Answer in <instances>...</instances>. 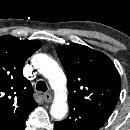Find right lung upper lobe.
Instances as JSON below:
<instances>
[{"label":"right lung upper lobe","mask_w":130,"mask_h":130,"mask_svg":"<svg viewBox=\"0 0 130 130\" xmlns=\"http://www.w3.org/2000/svg\"><path fill=\"white\" fill-rule=\"evenodd\" d=\"M36 40L0 37V130L24 121L36 108L30 81L23 76L25 61L41 47Z\"/></svg>","instance_id":"cb5924a9"}]
</instances>
